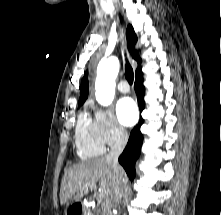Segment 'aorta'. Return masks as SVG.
Here are the masks:
<instances>
[{
	"instance_id": "aorta-1",
	"label": "aorta",
	"mask_w": 221,
	"mask_h": 215,
	"mask_svg": "<svg viewBox=\"0 0 221 215\" xmlns=\"http://www.w3.org/2000/svg\"><path fill=\"white\" fill-rule=\"evenodd\" d=\"M120 63L117 57L102 59L97 67L95 82V97L99 104L108 106L115 95V79L119 72Z\"/></svg>"
}]
</instances>
